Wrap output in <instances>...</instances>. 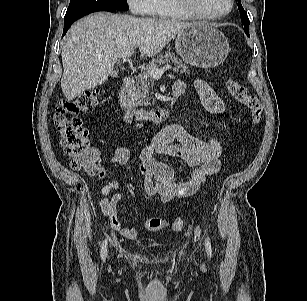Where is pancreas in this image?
<instances>
[{"label": "pancreas", "instance_id": "cf45deb5", "mask_svg": "<svg viewBox=\"0 0 307 301\" xmlns=\"http://www.w3.org/2000/svg\"><path fill=\"white\" fill-rule=\"evenodd\" d=\"M172 62L174 64L173 71L180 73H188L189 69L185 66L175 55L167 51L164 54L159 55L147 64L144 69L137 77L134 86V98L137 104L144 107H149L155 103L151 95L153 94V78L150 76L149 71L153 68H157L162 64ZM152 100V102H151Z\"/></svg>", "mask_w": 307, "mask_h": 301}]
</instances>
